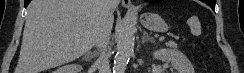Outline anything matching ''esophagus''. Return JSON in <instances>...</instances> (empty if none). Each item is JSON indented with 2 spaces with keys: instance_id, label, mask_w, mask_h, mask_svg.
I'll use <instances>...</instances> for the list:
<instances>
[{
  "instance_id": "esophagus-1",
  "label": "esophagus",
  "mask_w": 244,
  "mask_h": 73,
  "mask_svg": "<svg viewBox=\"0 0 244 73\" xmlns=\"http://www.w3.org/2000/svg\"><path fill=\"white\" fill-rule=\"evenodd\" d=\"M122 6L127 9H134V6H133L131 0H122Z\"/></svg>"
}]
</instances>
